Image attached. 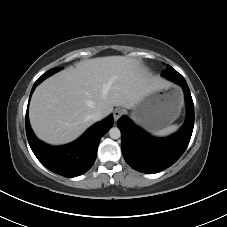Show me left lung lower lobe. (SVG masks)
<instances>
[{
    "label": "left lung lower lobe",
    "mask_w": 227,
    "mask_h": 227,
    "mask_svg": "<svg viewBox=\"0 0 227 227\" xmlns=\"http://www.w3.org/2000/svg\"><path fill=\"white\" fill-rule=\"evenodd\" d=\"M183 87L187 118L180 131L167 138H155L122 116L118 122L121 131V148L125 161L133 169L153 174L174 164L187 148L194 127V105L184 78L172 77Z\"/></svg>",
    "instance_id": "0a47b994"
}]
</instances>
